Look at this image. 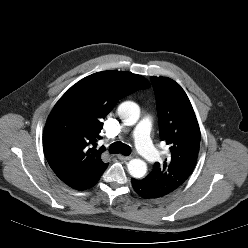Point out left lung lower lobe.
Segmentation results:
<instances>
[{"instance_id":"obj_1","label":"left lung lower lobe","mask_w":248,"mask_h":248,"mask_svg":"<svg viewBox=\"0 0 248 248\" xmlns=\"http://www.w3.org/2000/svg\"><path fill=\"white\" fill-rule=\"evenodd\" d=\"M132 186L135 192L146 199H156L163 197V195L152 185L143 180L132 179Z\"/></svg>"}]
</instances>
